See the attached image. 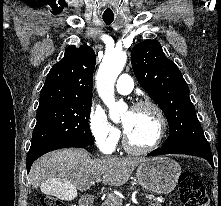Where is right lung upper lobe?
<instances>
[{
    "label": "right lung upper lobe",
    "instance_id": "right-lung-upper-lobe-1",
    "mask_svg": "<svg viewBox=\"0 0 221 206\" xmlns=\"http://www.w3.org/2000/svg\"><path fill=\"white\" fill-rule=\"evenodd\" d=\"M96 56L86 44L70 46L53 65L40 92L39 107L92 103V77Z\"/></svg>",
    "mask_w": 221,
    "mask_h": 206
}]
</instances>
